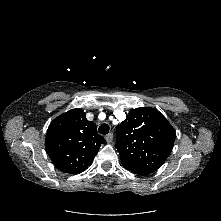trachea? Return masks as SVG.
<instances>
[{"mask_svg":"<svg viewBox=\"0 0 221 221\" xmlns=\"http://www.w3.org/2000/svg\"><path fill=\"white\" fill-rule=\"evenodd\" d=\"M98 132L100 134H107L109 132V125L108 124H102L99 128H98Z\"/></svg>","mask_w":221,"mask_h":221,"instance_id":"3493384b","label":"trachea"}]
</instances>
